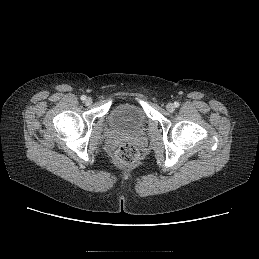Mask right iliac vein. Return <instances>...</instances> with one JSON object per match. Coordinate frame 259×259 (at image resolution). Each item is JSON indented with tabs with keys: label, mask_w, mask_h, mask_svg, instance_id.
Returning <instances> with one entry per match:
<instances>
[{
	"label": "right iliac vein",
	"mask_w": 259,
	"mask_h": 259,
	"mask_svg": "<svg viewBox=\"0 0 259 259\" xmlns=\"http://www.w3.org/2000/svg\"><path fill=\"white\" fill-rule=\"evenodd\" d=\"M85 104L86 105H91L92 104V99L90 97H88L86 100H85Z\"/></svg>",
	"instance_id": "1"
}]
</instances>
